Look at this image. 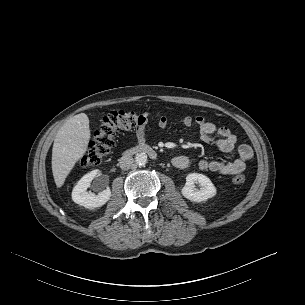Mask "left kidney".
Returning <instances> with one entry per match:
<instances>
[{
    "label": "left kidney",
    "mask_w": 305,
    "mask_h": 305,
    "mask_svg": "<svg viewBox=\"0 0 305 305\" xmlns=\"http://www.w3.org/2000/svg\"><path fill=\"white\" fill-rule=\"evenodd\" d=\"M195 184H199L197 189ZM182 195L192 202H204L216 195L217 190L211 180L198 173H190L186 177V184L182 188Z\"/></svg>",
    "instance_id": "5707ae66"
}]
</instances>
